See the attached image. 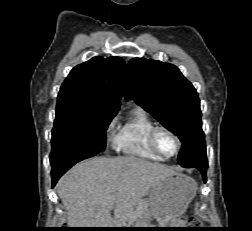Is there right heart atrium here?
Instances as JSON below:
<instances>
[{
	"label": "right heart atrium",
	"instance_id": "d8ad5b80",
	"mask_svg": "<svg viewBox=\"0 0 252 231\" xmlns=\"http://www.w3.org/2000/svg\"><path fill=\"white\" fill-rule=\"evenodd\" d=\"M115 128H116V118L115 117H112L106 124V127H105V133L107 136H110L114 133L115 131Z\"/></svg>",
	"mask_w": 252,
	"mask_h": 231
}]
</instances>
